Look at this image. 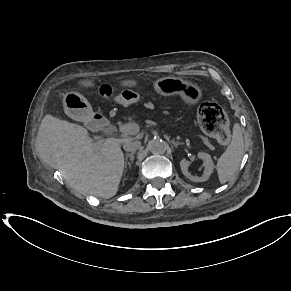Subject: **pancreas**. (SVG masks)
<instances>
[{"instance_id": "1", "label": "pancreas", "mask_w": 291, "mask_h": 291, "mask_svg": "<svg viewBox=\"0 0 291 291\" xmlns=\"http://www.w3.org/2000/svg\"><path fill=\"white\" fill-rule=\"evenodd\" d=\"M128 119L129 121L134 122L132 117H129Z\"/></svg>"}]
</instances>
